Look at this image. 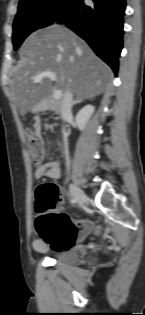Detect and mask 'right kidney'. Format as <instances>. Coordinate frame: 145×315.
I'll use <instances>...</instances> for the list:
<instances>
[{"instance_id":"right-kidney-1","label":"right kidney","mask_w":145,"mask_h":315,"mask_svg":"<svg viewBox=\"0 0 145 315\" xmlns=\"http://www.w3.org/2000/svg\"><path fill=\"white\" fill-rule=\"evenodd\" d=\"M95 107L93 105L84 106L76 115V125L80 130H84L88 120L94 113Z\"/></svg>"}]
</instances>
